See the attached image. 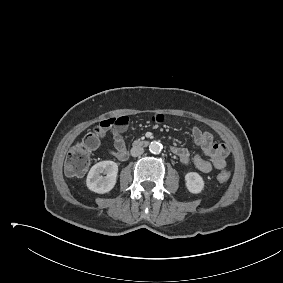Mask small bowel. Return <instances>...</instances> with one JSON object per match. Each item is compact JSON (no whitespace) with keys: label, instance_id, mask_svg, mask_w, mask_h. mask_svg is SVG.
<instances>
[{"label":"small bowel","instance_id":"obj_1","mask_svg":"<svg viewBox=\"0 0 283 283\" xmlns=\"http://www.w3.org/2000/svg\"><path fill=\"white\" fill-rule=\"evenodd\" d=\"M128 121V117L123 115L105 119L100 123L102 138L108 131H111L113 134L114 146L109 150V153L118 160H125L128 156L124 141V133L127 130ZM153 121L161 123L163 115L155 114ZM192 135L194 142L201 148L202 154H195L191 158L188 149L181 146H173L172 152L179 158L180 162L185 165L193 162L195 167L204 173H208L214 168L223 169L226 166V159L230 153L228 145L214 142L212 133L197 126L192 127Z\"/></svg>","mask_w":283,"mask_h":283}]
</instances>
